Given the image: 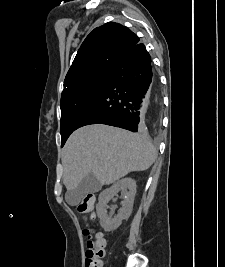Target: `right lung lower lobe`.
Returning a JSON list of instances; mask_svg holds the SVG:
<instances>
[{
	"label": "right lung lower lobe",
	"instance_id": "1",
	"mask_svg": "<svg viewBox=\"0 0 225 267\" xmlns=\"http://www.w3.org/2000/svg\"><path fill=\"white\" fill-rule=\"evenodd\" d=\"M157 87L151 56L143 43L126 50L116 61L99 94L78 121L75 130L106 124L137 132L142 102Z\"/></svg>",
	"mask_w": 225,
	"mask_h": 267
}]
</instances>
